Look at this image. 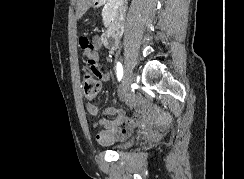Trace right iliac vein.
<instances>
[{
  "mask_svg": "<svg viewBox=\"0 0 244 179\" xmlns=\"http://www.w3.org/2000/svg\"><path fill=\"white\" fill-rule=\"evenodd\" d=\"M133 80V74L132 71L130 70L129 66H125V71H124V76L121 81V98H123L130 90V84Z\"/></svg>",
  "mask_w": 244,
  "mask_h": 179,
  "instance_id": "obj_1",
  "label": "right iliac vein"
}]
</instances>
